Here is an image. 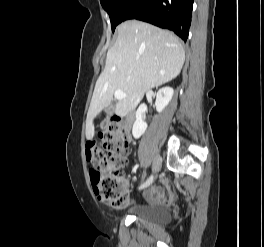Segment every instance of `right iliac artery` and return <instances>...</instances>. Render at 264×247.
I'll return each mask as SVG.
<instances>
[{
	"instance_id": "82829eb1",
	"label": "right iliac artery",
	"mask_w": 264,
	"mask_h": 247,
	"mask_svg": "<svg viewBox=\"0 0 264 247\" xmlns=\"http://www.w3.org/2000/svg\"><path fill=\"white\" fill-rule=\"evenodd\" d=\"M153 175H151L146 182H144L140 187L139 189H143V188H146L147 186H149L152 182H153Z\"/></svg>"
}]
</instances>
